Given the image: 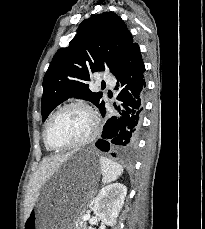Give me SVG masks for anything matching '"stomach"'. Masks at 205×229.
I'll use <instances>...</instances> for the list:
<instances>
[{
	"mask_svg": "<svg viewBox=\"0 0 205 229\" xmlns=\"http://www.w3.org/2000/svg\"><path fill=\"white\" fill-rule=\"evenodd\" d=\"M101 167L96 155L79 151L65 162L62 172L36 202L23 229H76L93 195Z\"/></svg>",
	"mask_w": 205,
	"mask_h": 229,
	"instance_id": "stomach-1",
	"label": "stomach"
}]
</instances>
